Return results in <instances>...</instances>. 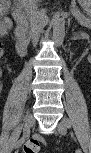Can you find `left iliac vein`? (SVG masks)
Returning a JSON list of instances; mask_svg holds the SVG:
<instances>
[{
  "label": "left iliac vein",
  "mask_w": 91,
  "mask_h": 153,
  "mask_svg": "<svg viewBox=\"0 0 91 153\" xmlns=\"http://www.w3.org/2000/svg\"><path fill=\"white\" fill-rule=\"evenodd\" d=\"M57 129L61 135H65L67 133V124L65 120H62L58 123Z\"/></svg>",
  "instance_id": "1"
}]
</instances>
